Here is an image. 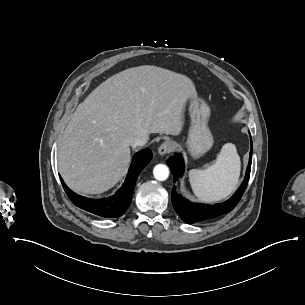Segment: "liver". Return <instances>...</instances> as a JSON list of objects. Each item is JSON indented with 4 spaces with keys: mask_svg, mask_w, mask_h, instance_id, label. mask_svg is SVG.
<instances>
[{
    "mask_svg": "<svg viewBox=\"0 0 305 305\" xmlns=\"http://www.w3.org/2000/svg\"><path fill=\"white\" fill-rule=\"evenodd\" d=\"M187 76L144 65L119 72L78 105L59 141L58 169L77 193L99 194L127 173L130 140L150 133L180 134L189 98Z\"/></svg>",
    "mask_w": 305,
    "mask_h": 305,
    "instance_id": "liver-1",
    "label": "liver"
}]
</instances>
